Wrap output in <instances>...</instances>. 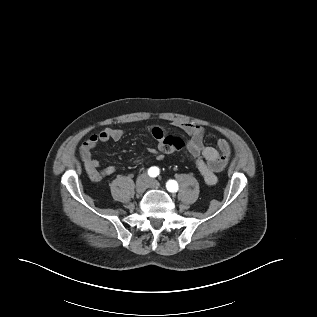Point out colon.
Wrapping results in <instances>:
<instances>
[{
	"instance_id": "1",
	"label": "colon",
	"mask_w": 317,
	"mask_h": 317,
	"mask_svg": "<svg viewBox=\"0 0 317 317\" xmlns=\"http://www.w3.org/2000/svg\"><path fill=\"white\" fill-rule=\"evenodd\" d=\"M181 146L182 141L180 138L173 135H168L162 140L160 144V149L163 153L168 154L178 151Z\"/></svg>"
}]
</instances>
